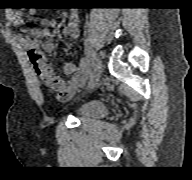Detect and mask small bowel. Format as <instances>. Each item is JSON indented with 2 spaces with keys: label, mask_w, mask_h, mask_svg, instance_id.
<instances>
[{
  "label": "small bowel",
  "mask_w": 192,
  "mask_h": 180,
  "mask_svg": "<svg viewBox=\"0 0 192 180\" xmlns=\"http://www.w3.org/2000/svg\"><path fill=\"white\" fill-rule=\"evenodd\" d=\"M23 16V11H16L12 15V23L14 25L23 24ZM56 24V20L52 19L39 28L31 29L29 31L30 36L23 39L22 44L27 50L30 63L36 75L54 92L58 100L66 101L85 85L90 72V62L87 58H81L77 64L65 63L63 71L69 77L68 80H63L54 73L53 67L44 53H51L54 50L55 46L50 28ZM79 33L80 17L76 11H73L69 16L67 25L63 29V34L71 38H77Z\"/></svg>",
  "instance_id": "small-bowel-1"
}]
</instances>
